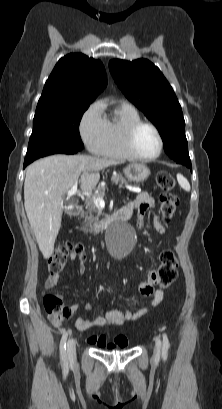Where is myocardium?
<instances>
[{"label":"myocardium","instance_id":"f54148a6","mask_svg":"<svg viewBox=\"0 0 222 409\" xmlns=\"http://www.w3.org/2000/svg\"><path fill=\"white\" fill-rule=\"evenodd\" d=\"M145 126L150 127L151 129L154 130V132L156 133V135L158 137V141H159L158 151H157L156 154H154L152 156H143V155H141L136 150V147H135L136 134L142 127H145ZM125 147H126L127 151L130 153V155L133 158L141 160V161H152V160L157 159L161 155V153L163 151V148H164V140H163V136H162L160 130L158 129V127L155 124H153L151 122H148V121H142L141 120V121H138V122L132 124L128 128V130L126 131V134H125Z\"/></svg>","mask_w":222,"mask_h":409}]
</instances>
